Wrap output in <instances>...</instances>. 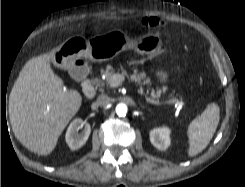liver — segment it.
Wrapping results in <instances>:
<instances>
[{"label":"liver","instance_id":"6515ba94","mask_svg":"<svg viewBox=\"0 0 245 187\" xmlns=\"http://www.w3.org/2000/svg\"><path fill=\"white\" fill-rule=\"evenodd\" d=\"M52 52L30 59L22 68L9 96V117L17 140L31 152L49 155L82 97L65 89L50 65Z\"/></svg>","mask_w":245,"mask_h":187}]
</instances>
